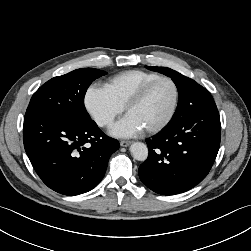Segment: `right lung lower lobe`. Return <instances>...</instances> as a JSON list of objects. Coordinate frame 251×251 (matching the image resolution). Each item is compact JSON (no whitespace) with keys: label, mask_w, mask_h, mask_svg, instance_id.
<instances>
[{"label":"right lung lower lobe","mask_w":251,"mask_h":251,"mask_svg":"<svg viewBox=\"0 0 251 251\" xmlns=\"http://www.w3.org/2000/svg\"><path fill=\"white\" fill-rule=\"evenodd\" d=\"M25 151L41 180L64 195L93 189L104 177L117 140L105 135L94 121L77 124L40 109H27Z\"/></svg>","instance_id":"obj_1"}]
</instances>
